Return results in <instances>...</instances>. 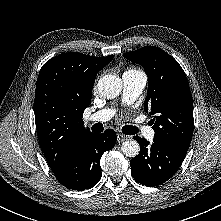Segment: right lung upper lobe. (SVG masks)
<instances>
[{"label":"right lung upper lobe","instance_id":"right-lung-upper-lobe-1","mask_svg":"<svg viewBox=\"0 0 221 221\" xmlns=\"http://www.w3.org/2000/svg\"><path fill=\"white\" fill-rule=\"evenodd\" d=\"M113 55L93 57L62 53L41 68L34 112L38 138L51 168H60L84 134L82 115L90 105L96 74Z\"/></svg>","mask_w":221,"mask_h":221}]
</instances>
